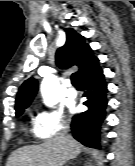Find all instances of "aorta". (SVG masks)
Here are the masks:
<instances>
[{
  "mask_svg": "<svg viewBox=\"0 0 135 166\" xmlns=\"http://www.w3.org/2000/svg\"><path fill=\"white\" fill-rule=\"evenodd\" d=\"M40 89L43 101L47 106H53L59 102L60 88L54 76L44 78Z\"/></svg>",
  "mask_w": 135,
  "mask_h": 166,
  "instance_id": "obj_1",
  "label": "aorta"
}]
</instances>
